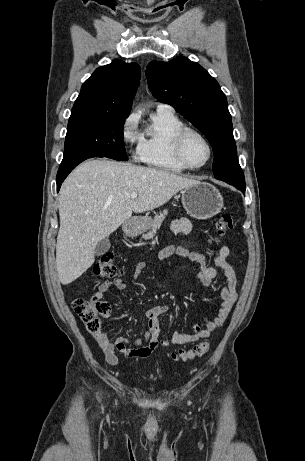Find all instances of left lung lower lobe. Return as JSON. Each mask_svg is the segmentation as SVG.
Segmentation results:
<instances>
[{
  "label": "left lung lower lobe",
  "mask_w": 305,
  "mask_h": 461,
  "mask_svg": "<svg viewBox=\"0 0 305 461\" xmlns=\"http://www.w3.org/2000/svg\"><path fill=\"white\" fill-rule=\"evenodd\" d=\"M238 189H240L245 194V186H241Z\"/></svg>",
  "instance_id": "left-lung-lower-lobe-1"
}]
</instances>
